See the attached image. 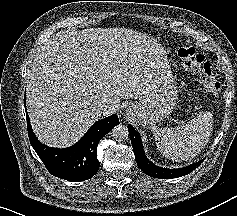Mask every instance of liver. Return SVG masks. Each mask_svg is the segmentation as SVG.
I'll use <instances>...</instances> for the list:
<instances>
[{
    "instance_id": "liver-1",
    "label": "liver",
    "mask_w": 237,
    "mask_h": 216,
    "mask_svg": "<svg viewBox=\"0 0 237 216\" xmlns=\"http://www.w3.org/2000/svg\"><path fill=\"white\" fill-rule=\"evenodd\" d=\"M158 77L151 68L121 62L113 30L61 32L42 46L27 70L34 131L46 144L70 145L115 111L100 108L102 99H140Z\"/></svg>"
}]
</instances>
